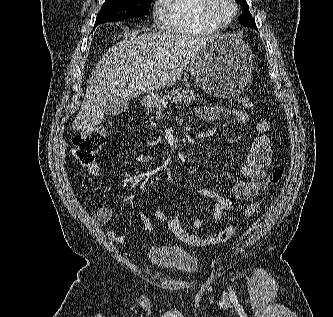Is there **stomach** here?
Wrapping results in <instances>:
<instances>
[{
  "mask_svg": "<svg viewBox=\"0 0 333 317\" xmlns=\"http://www.w3.org/2000/svg\"><path fill=\"white\" fill-rule=\"evenodd\" d=\"M253 54L239 38L218 35L207 40L190 62L194 82L207 94L220 99L242 94L251 84ZM159 96L149 94L145 105L154 107Z\"/></svg>",
  "mask_w": 333,
  "mask_h": 317,
  "instance_id": "obj_1",
  "label": "stomach"
}]
</instances>
